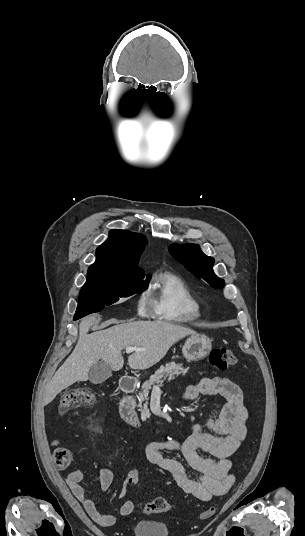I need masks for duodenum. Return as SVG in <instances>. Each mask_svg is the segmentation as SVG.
<instances>
[{
  "mask_svg": "<svg viewBox=\"0 0 305 536\" xmlns=\"http://www.w3.org/2000/svg\"><path fill=\"white\" fill-rule=\"evenodd\" d=\"M138 381L130 376H123L120 380V389L123 392V399L120 404V414L122 419L135 427L142 429L143 424L135 409V402L132 398L133 392L137 389Z\"/></svg>",
  "mask_w": 305,
  "mask_h": 536,
  "instance_id": "1",
  "label": "duodenum"
}]
</instances>
